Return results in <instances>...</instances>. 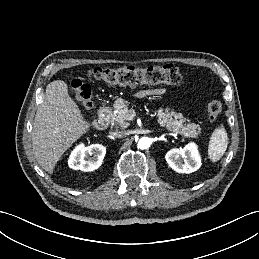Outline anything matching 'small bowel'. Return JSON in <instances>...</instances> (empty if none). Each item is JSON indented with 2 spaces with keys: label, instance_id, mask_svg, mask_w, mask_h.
<instances>
[{
  "label": "small bowel",
  "instance_id": "1",
  "mask_svg": "<svg viewBox=\"0 0 259 259\" xmlns=\"http://www.w3.org/2000/svg\"><path fill=\"white\" fill-rule=\"evenodd\" d=\"M165 92L164 89H154V90H149V91H142L140 93H138L139 97H143L146 95H161Z\"/></svg>",
  "mask_w": 259,
  "mask_h": 259
}]
</instances>
